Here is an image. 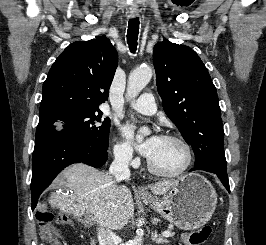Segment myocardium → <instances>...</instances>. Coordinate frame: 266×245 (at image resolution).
<instances>
[{
	"mask_svg": "<svg viewBox=\"0 0 266 245\" xmlns=\"http://www.w3.org/2000/svg\"><path fill=\"white\" fill-rule=\"evenodd\" d=\"M163 138L167 139V140H172V141H177L179 142L185 151V163L183 165V167L174 173H164V172H160L158 170H156L153 165L151 164L150 160H148L147 162V168L149 170V172L156 176V177H160V178H178L183 176L191 167L192 163H193V150L191 145L189 144V142L184 139L183 137L176 135V134H165L162 136Z\"/></svg>",
	"mask_w": 266,
	"mask_h": 245,
	"instance_id": "1",
	"label": "myocardium"
}]
</instances>
